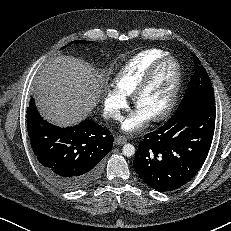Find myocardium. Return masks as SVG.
I'll return each mask as SVG.
<instances>
[{"instance_id":"myocardium-1","label":"myocardium","mask_w":231,"mask_h":231,"mask_svg":"<svg viewBox=\"0 0 231 231\" xmlns=\"http://www.w3.org/2000/svg\"><path fill=\"white\" fill-rule=\"evenodd\" d=\"M166 62H172L175 67V73H174V81L172 84L171 92L169 94V98L167 100L166 105L164 108L156 115L151 117V120L154 122H159L167 118L172 111L174 110V107L177 102V98L179 96V92L181 89L182 84V71L179 61L170 55H165L159 59H157L148 69L140 83L135 88L132 98L134 106L137 108L141 96L144 94V92L149 88L151 85L156 73L160 69V67L165 64Z\"/></svg>"}]
</instances>
